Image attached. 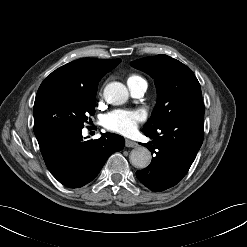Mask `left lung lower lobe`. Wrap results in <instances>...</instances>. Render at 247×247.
Instances as JSON below:
<instances>
[{
  "label": "left lung lower lobe",
  "instance_id": "obj_1",
  "mask_svg": "<svg viewBox=\"0 0 247 247\" xmlns=\"http://www.w3.org/2000/svg\"><path fill=\"white\" fill-rule=\"evenodd\" d=\"M204 119L178 118L154 131H143L152 142L142 144L154 157L148 167L137 171L138 180L152 191L176 185L188 172L204 137Z\"/></svg>",
  "mask_w": 247,
  "mask_h": 247
}]
</instances>
